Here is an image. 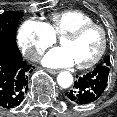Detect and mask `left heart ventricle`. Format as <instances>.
Here are the masks:
<instances>
[{"label":"left heart ventricle","instance_id":"obj_1","mask_svg":"<svg viewBox=\"0 0 117 117\" xmlns=\"http://www.w3.org/2000/svg\"><path fill=\"white\" fill-rule=\"evenodd\" d=\"M102 35L97 29H90L77 38H63L61 44L71 52L76 64L90 61L100 49Z\"/></svg>","mask_w":117,"mask_h":117}]
</instances>
